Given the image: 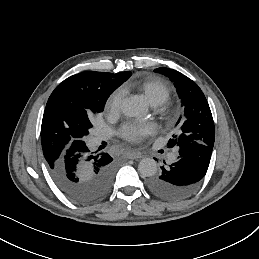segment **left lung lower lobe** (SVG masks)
Masks as SVG:
<instances>
[{
    "instance_id": "obj_1",
    "label": "left lung lower lobe",
    "mask_w": 259,
    "mask_h": 259,
    "mask_svg": "<svg viewBox=\"0 0 259 259\" xmlns=\"http://www.w3.org/2000/svg\"><path fill=\"white\" fill-rule=\"evenodd\" d=\"M178 150L177 161L161 167V174L147 181L148 189L165 200H182L197 189L209 167L213 146L191 142Z\"/></svg>"
}]
</instances>
